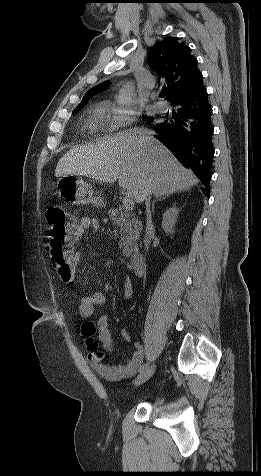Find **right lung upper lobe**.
Returning a JSON list of instances; mask_svg holds the SVG:
<instances>
[{
	"mask_svg": "<svg viewBox=\"0 0 261 476\" xmlns=\"http://www.w3.org/2000/svg\"><path fill=\"white\" fill-rule=\"evenodd\" d=\"M148 62L159 77L165 80L170 102L191 93L203 78L191 49L176 37H167L155 44L150 50ZM107 87L108 81L92 87L77 107L85 105L92 96Z\"/></svg>",
	"mask_w": 261,
	"mask_h": 476,
	"instance_id": "right-lung-upper-lobe-1",
	"label": "right lung upper lobe"
}]
</instances>
